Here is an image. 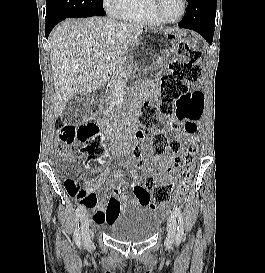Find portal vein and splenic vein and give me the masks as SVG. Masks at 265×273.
Returning a JSON list of instances; mask_svg holds the SVG:
<instances>
[{"label": "portal vein and splenic vein", "mask_w": 265, "mask_h": 273, "mask_svg": "<svg viewBox=\"0 0 265 273\" xmlns=\"http://www.w3.org/2000/svg\"><path fill=\"white\" fill-rule=\"evenodd\" d=\"M99 56H100V55H99V54H97V55L95 56V59H97Z\"/></svg>", "instance_id": "1"}]
</instances>
